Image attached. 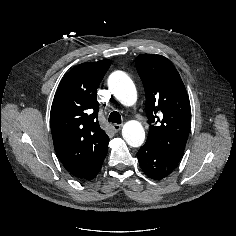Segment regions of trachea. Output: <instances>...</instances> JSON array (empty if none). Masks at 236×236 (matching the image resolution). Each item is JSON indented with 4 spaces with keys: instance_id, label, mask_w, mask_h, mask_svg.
Instances as JSON below:
<instances>
[{
    "instance_id": "1",
    "label": "trachea",
    "mask_w": 236,
    "mask_h": 236,
    "mask_svg": "<svg viewBox=\"0 0 236 236\" xmlns=\"http://www.w3.org/2000/svg\"><path fill=\"white\" fill-rule=\"evenodd\" d=\"M108 121L112 123L121 124L122 122L121 115L117 111H113L110 113L108 117Z\"/></svg>"
}]
</instances>
